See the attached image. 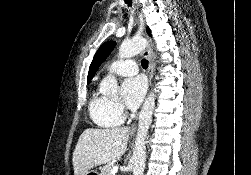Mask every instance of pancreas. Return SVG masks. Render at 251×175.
<instances>
[{
  "label": "pancreas",
  "mask_w": 251,
  "mask_h": 175,
  "mask_svg": "<svg viewBox=\"0 0 251 175\" xmlns=\"http://www.w3.org/2000/svg\"><path fill=\"white\" fill-rule=\"evenodd\" d=\"M112 167H114V163H107V165H103L101 173H99V175H112Z\"/></svg>",
  "instance_id": "1"
}]
</instances>
